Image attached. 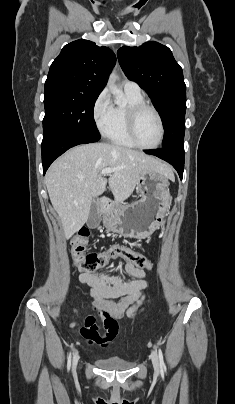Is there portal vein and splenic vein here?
Segmentation results:
<instances>
[{"label": "portal vein and splenic vein", "mask_w": 235, "mask_h": 404, "mask_svg": "<svg viewBox=\"0 0 235 404\" xmlns=\"http://www.w3.org/2000/svg\"><path fill=\"white\" fill-rule=\"evenodd\" d=\"M114 170L112 168H105L101 171L102 175L111 174Z\"/></svg>", "instance_id": "18ae733b"}]
</instances>
